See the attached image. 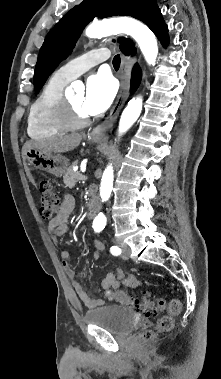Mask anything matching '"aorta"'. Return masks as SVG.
<instances>
[{"label":"aorta","instance_id":"aorta-1","mask_svg":"<svg viewBox=\"0 0 221 379\" xmlns=\"http://www.w3.org/2000/svg\"><path fill=\"white\" fill-rule=\"evenodd\" d=\"M85 33L89 38H101L118 33L130 35L138 43L147 63L149 65H155L158 55L156 37L146 25L136 19L120 17L92 23L87 27ZM142 105L143 99L141 96L133 98L128 102L119 121L118 132L120 136L136 122L140 116ZM113 172L112 164H109L103 172L100 185V197L102 201H107L110 198L113 188ZM93 224L100 228L105 226V215L99 213L95 217Z\"/></svg>","mask_w":221,"mask_h":379}]
</instances>
